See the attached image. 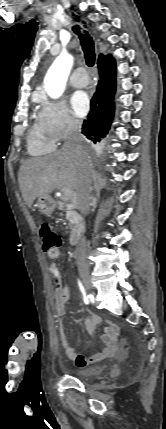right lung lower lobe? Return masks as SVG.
I'll return each mask as SVG.
<instances>
[{"instance_id": "98d812e1", "label": "right lung lower lobe", "mask_w": 166, "mask_h": 429, "mask_svg": "<svg viewBox=\"0 0 166 429\" xmlns=\"http://www.w3.org/2000/svg\"><path fill=\"white\" fill-rule=\"evenodd\" d=\"M100 79L91 99V111L82 125V134L94 143L100 142L108 133L114 115L113 98L116 88V64L111 55L98 58Z\"/></svg>"}]
</instances>
